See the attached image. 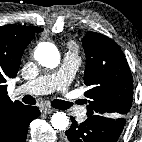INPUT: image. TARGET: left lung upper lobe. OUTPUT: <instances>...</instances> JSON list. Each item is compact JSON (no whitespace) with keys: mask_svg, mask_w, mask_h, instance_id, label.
<instances>
[{"mask_svg":"<svg viewBox=\"0 0 142 142\" xmlns=\"http://www.w3.org/2000/svg\"><path fill=\"white\" fill-rule=\"evenodd\" d=\"M83 45L87 116L126 117L133 101V77L124 53L112 39L96 32L86 33Z\"/></svg>","mask_w":142,"mask_h":142,"instance_id":"5c2ea615","label":"left lung upper lobe"}]
</instances>
